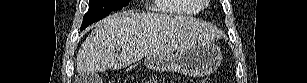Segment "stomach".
Returning <instances> with one entry per match:
<instances>
[{"label":"stomach","instance_id":"0dacf381","mask_svg":"<svg viewBox=\"0 0 307 83\" xmlns=\"http://www.w3.org/2000/svg\"><path fill=\"white\" fill-rule=\"evenodd\" d=\"M222 60L221 50L212 43H198L181 49L175 55H151L145 58V66L158 72H178L201 77L213 73Z\"/></svg>","mask_w":307,"mask_h":83}]
</instances>
